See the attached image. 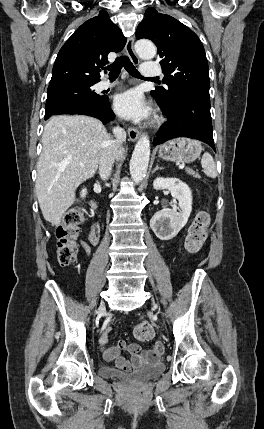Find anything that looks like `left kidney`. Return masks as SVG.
<instances>
[{
    "instance_id": "left-kidney-1",
    "label": "left kidney",
    "mask_w": 264,
    "mask_h": 429,
    "mask_svg": "<svg viewBox=\"0 0 264 429\" xmlns=\"http://www.w3.org/2000/svg\"><path fill=\"white\" fill-rule=\"evenodd\" d=\"M155 190L168 189L178 199L179 209H162L150 220V227L160 240H170L186 225L192 211V194L189 186L178 178L158 177L153 182Z\"/></svg>"
}]
</instances>
